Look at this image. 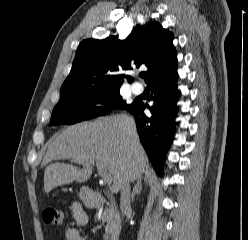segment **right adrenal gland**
I'll return each mask as SVG.
<instances>
[{"label":"right adrenal gland","instance_id":"2a0ac1e0","mask_svg":"<svg viewBox=\"0 0 248 240\" xmlns=\"http://www.w3.org/2000/svg\"><path fill=\"white\" fill-rule=\"evenodd\" d=\"M141 192H142V179L140 178L137 180V183L134 186V189H133L132 194L130 196V202H133L135 195L141 194Z\"/></svg>","mask_w":248,"mask_h":240}]
</instances>
